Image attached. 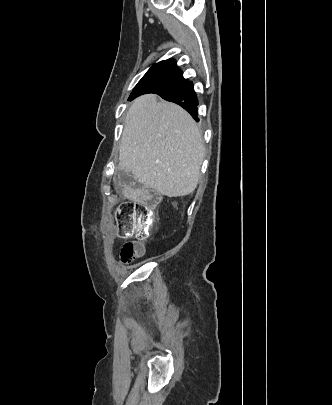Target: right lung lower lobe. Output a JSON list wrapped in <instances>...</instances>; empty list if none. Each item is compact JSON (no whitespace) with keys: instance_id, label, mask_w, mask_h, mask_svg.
<instances>
[{"instance_id":"1","label":"right lung lower lobe","mask_w":332,"mask_h":405,"mask_svg":"<svg viewBox=\"0 0 332 405\" xmlns=\"http://www.w3.org/2000/svg\"><path fill=\"white\" fill-rule=\"evenodd\" d=\"M150 93H156L167 101L177 103L178 105L183 107L185 110H187L196 121H198V118H197L198 100L195 95V91L193 89L192 81L186 80L185 82H183L175 87H172L170 89H167L164 91L150 92ZM142 94H145V93H140V92L133 90V92L131 93V95L129 97V100H132Z\"/></svg>"}]
</instances>
